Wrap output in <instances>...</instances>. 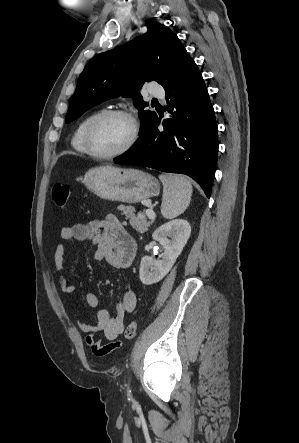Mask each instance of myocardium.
<instances>
[{
	"label": "myocardium",
	"mask_w": 299,
	"mask_h": 443,
	"mask_svg": "<svg viewBox=\"0 0 299 443\" xmlns=\"http://www.w3.org/2000/svg\"><path fill=\"white\" fill-rule=\"evenodd\" d=\"M109 116H120L123 118H126L130 123L132 127V132L129 140L127 143L119 150L108 153V154H101L95 151L92 145V133L94 131V128L96 125L105 117ZM139 136V125L136 120V118L128 111L123 109H104L96 113L87 123L84 134H83V143L85 146V149L87 153L99 160H111L114 158H117L119 156L124 155L127 153L132 147L135 145L137 139Z\"/></svg>",
	"instance_id": "f54148a6"
}]
</instances>
